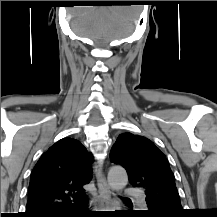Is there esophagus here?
<instances>
[{
    "mask_svg": "<svg viewBox=\"0 0 217 217\" xmlns=\"http://www.w3.org/2000/svg\"><path fill=\"white\" fill-rule=\"evenodd\" d=\"M94 172L97 179L100 207L107 211L112 210L115 206V202L112 198V192L108 186L102 168L98 163H95L94 165Z\"/></svg>",
    "mask_w": 217,
    "mask_h": 217,
    "instance_id": "obj_1",
    "label": "esophagus"
}]
</instances>
